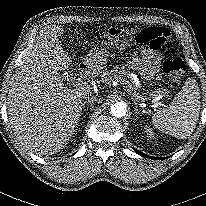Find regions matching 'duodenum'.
I'll return each instance as SVG.
<instances>
[{
  "mask_svg": "<svg viewBox=\"0 0 206 206\" xmlns=\"http://www.w3.org/2000/svg\"><path fill=\"white\" fill-rule=\"evenodd\" d=\"M85 71H86V68L81 67V68L79 69V72H80L81 74H83Z\"/></svg>",
  "mask_w": 206,
  "mask_h": 206,
  "instance_id": "410a0bca",
  "label": "duodenum"
}]
</instances>
